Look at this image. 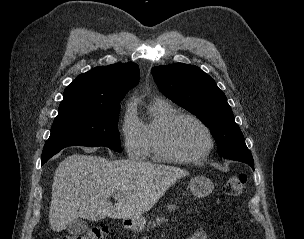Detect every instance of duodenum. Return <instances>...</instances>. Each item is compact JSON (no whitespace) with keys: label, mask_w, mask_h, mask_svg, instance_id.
Masks as SVG:
<instances>
[{"label":"duodenum","mask_w":304,"mask_h":239,"mask_svg":"<svg viewBox=\"0 0 304 239\" xmlns=\"http://www.w3.org/2000/svg\"><path fill=\"white\" fill-rule=\"evenodd\" d=\"M126 224H127L128 226H131V225H132V221H128Z\"/></svg>","instance_id":"duodenum-1"}]
</instances>
